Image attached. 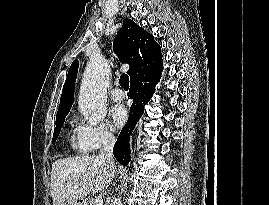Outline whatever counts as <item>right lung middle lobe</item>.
Instances as JSON below:
<instances>
[{
	"label": "right lung middle lobe",
	"instance_id": "1",
	"mask_svg": "<svg viewBox=\"0 0 269 205\" xmlns=\"http://www.w3.org/2000/svg\"><path fill=\"white\" fill-rule=\"evenodd\" d=\"M65 117L66 116L56 118V127L54 130L53 139H52L53 144H55V141H56L57 137L59 136L61 127L63 126L64 121H65Z\"/></svg>",
	"mask_w": 269,
	"mask_h": 205
}]
</instances>
